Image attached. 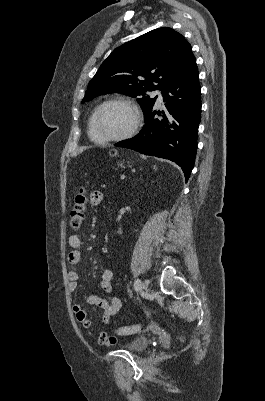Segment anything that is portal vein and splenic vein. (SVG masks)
<instances>
[{"instance_id": "portal-vein-and-splenic-vein-1", "label": "portal vein and splenic vein", "mask_w": 265, "mask_h": 401, "mask_svg": "<svg viewBox=\"0 0 265 401\" xmlns=\"http://www.w3.org/2000/svg\"><path fill=\"white\" fill-rule=\"evenodd\" d=\"M120 180H121V181H124V180H125L124 175H121Z\"/></svg>"}]
</instances>
